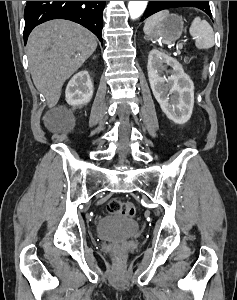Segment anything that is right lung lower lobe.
<instances>
[{
    "mask_svg": "<svg viewBox=\"0 0 237 300\" xmlns=\"http://www.w3.org/2000/svg\"><path fill=\"white\" fill-rule=\"evenodd\" d=\"M104 7L105 1H27L24 12V43L26 44L35 26L58 18L83 25L102 42Z\"/></svg>",
    "mask_w": 237,
    "mask_h": 300,
    "instance_id": "right-lung-lower-lobe-1",
    "label": "right lung lower lobe"
}]
</instances>
